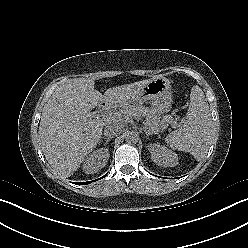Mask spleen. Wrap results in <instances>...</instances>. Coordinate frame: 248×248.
Instances as JSON below:
<instances>
[{
  "mask_svg": "<svg viewBox=\"0 0 248 248\" xmlns=\"http://www.w3.org/2000/svg\"><path fill=\"white\" fill-rule=\"evenodd\" d=\"M190 105L183 126L167 135L165 141L171 148L191 153L201 160L209 146L211 125L209 106L199 86H193Z\"/></svg>",
  "mask_w": 248,
  "mask_h": 248,
  "instance_id": "spleen-1",
  "label": "spleen"
}]
</instances>
